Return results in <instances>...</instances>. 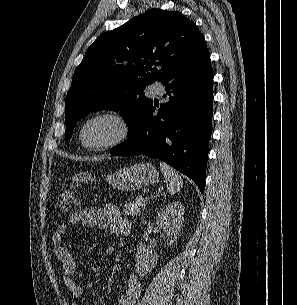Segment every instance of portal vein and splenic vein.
<instances>
[{
    "label": "portal vein and splenic vein",
    "instance_id": "1",
    "mask_svg": "<svg viewBox=\"0 0 297 305\" xmlns=\"http://www.w3.org/2000/svg\"><path fill=\"white\" fill-rule=\"evenodd\" d=\"M141 202H144V198L142 196L138 199V204H141Z\"/></svg>",
    "mask_w": 297,
    "mask_h": 305
}]
</instances>
